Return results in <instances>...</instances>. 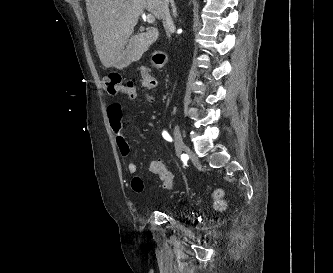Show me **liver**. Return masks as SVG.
I'll list each match as a JSON object with an SVG mask.
<instances>
[{
  "instance_id": "obj_1",
  "label": "liver",
  "mask_w": 333,
  "mask_h": 273,
  "mask_svg": "<svg viewBox=\"0 0 333 273\" xmlns=\"http://www.w3.org/2000/svg\"><path fill=\"white\" fill-rule=\"evenodd\" d=\"M94 44L102 65L113 66L144 10L162 19L160 0H86Z\"/></svg>"
}]
</instances>
